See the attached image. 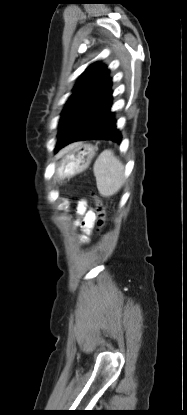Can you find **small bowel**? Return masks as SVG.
Here are the masks:
<instances>
[{
  "instance_id": "1",
  "label": "small bowel",
  "mask_w": 187,
  "mask_h": 415,
  "mask_svg": "<svg viewBox=\"0 0 187 415\" xmlns=\"http://www.w3.org/2000/svg\"><path fill=\"white\" fill-rule=\"evenodd\" d=\"M78 212L83 215L82 220L78 223L86 233L89 232L90 228L92 227V224L95 220V214L92 211L87 210V204L86 202H81L78 206ZM88 242V236L83 235L80 238V243L84 244Z\"/></svg>"
}]
</instances>
